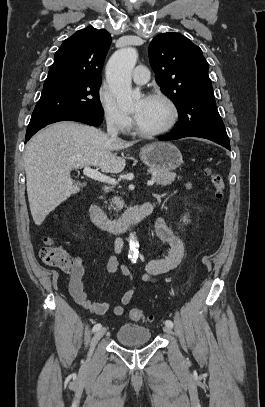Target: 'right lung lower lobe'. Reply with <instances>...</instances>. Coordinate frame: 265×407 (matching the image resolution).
Wrapping results in <instances>:
<instances>
[{
  "instance_id": "right-lung-lower-lobe-1",
  "label": "right lung lower lobe",
  "mask_w": 265,
  "mask_h": 407,
  "mask_svg": "<svg viewBox=\"0 0 265 407\" xmlns=\"http://www.w3.org/2000/svg\"><path fill=\"white\" fill-rule=\"evenodd\" d=\"M102 117L93 115V114H75V115H71V116L62 118L58 121L71 120V121H78V122L86 123V124H89L92 126H99L103 121ZM37 131L38 130H36L32 133H26V141H28Z\"/></svg>"
}]
</instances>
